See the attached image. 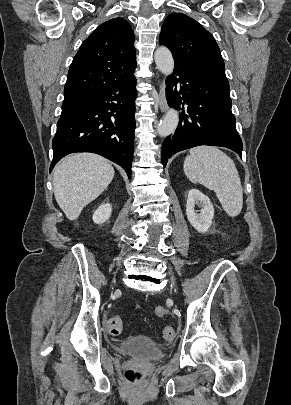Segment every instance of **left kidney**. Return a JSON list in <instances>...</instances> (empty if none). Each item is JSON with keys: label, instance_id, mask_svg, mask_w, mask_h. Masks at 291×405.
Segmentation results:
<instances>
[{"label": "left kidney", "instance_id": "5707ae66", "mask_svg": "<svg viewBox=\"0 0 291 405\" xmlns=\"http://www.w3.org/2000/svg\"><path fill=\"white\" fill-rule=\"evenodd\" d=\"M201 205L200 213L195 212V205ZM186 215L190 224L200 233L208 231L214 217V208L210 199L197 189L188 193Z\"/></svg>", "mask_w": 291, "mask_h": 405}]
</instances>
